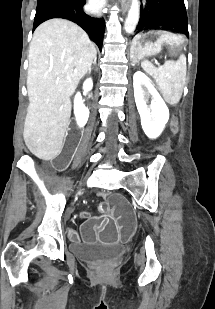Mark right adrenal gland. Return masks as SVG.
I'll list each match as a JSON object with an SVG mask.
<instances>
[{
  "mask_svg": "<svg viewBox=\"0 0 215 309\" xmlns=\"http://www.w3.org/2000/svg\"><path fill=\"white\" fill-rule=\"evenodd\" d=\"M96 60H97V56H95L93 64H96ZM91 70H92V66H90L89 72H91Z\"/></svg>",
  "mask_w": 215,
  "mask_h": 309,
  "instance_id": "2a0ac1e0",
  "label": "right adrenal gland"
}]
</instances>
